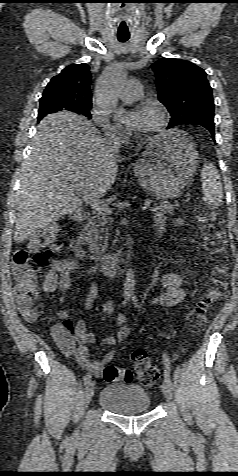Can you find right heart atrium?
Returning a JSON list of instances; mask_svg holds the SVG:
<instances>
[{"instance_id": "1", "label": "right heart atrium", "mask_w": 238, "mask_h": 476, "mask_svg": "<svg viewBox=\"0 0 238 476\" xmlns=\"http://www.w3.org/2000/svg\"><path fill=\"white\" fill-rule=\"evenodd\" d=\"M92 119L93 121L102 129L108 137H117L119 136L118 129L110 123L106 114L99 109L92 110Z\"/></svg>"}]
</instances>
